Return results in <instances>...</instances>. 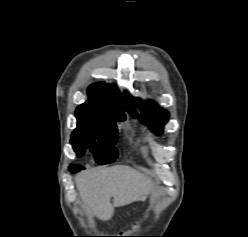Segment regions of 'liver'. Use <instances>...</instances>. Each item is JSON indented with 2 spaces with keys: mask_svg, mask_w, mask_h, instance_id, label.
Listing matches in <instances>:
<instances>
[{
  "mask_svg": "<svg viewBox=\"0 0 248 237\" xmlns=\"http://www.w3.org/2000/svg\"><path fill=\"white\" fill-rule=\"evenodd\" d=\"M149 178L126 165L88 171L77 178L76 187L86 208L101 220H109L114 207L146 197L153 188ZM113 197V204L110 199Z\"/></svg>",
  "mask_w": 248,
  "mask_h": 237,
  "instance_id": "1",
  "label": "liver"
}]
</instances>
